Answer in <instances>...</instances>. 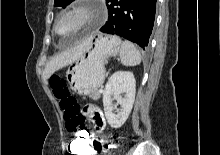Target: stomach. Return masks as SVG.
<instances>
[{"label":"stomach","mask_w":220,"mask_h":155,"mask_svg":"<svg viewBox=\"0 0 220 155\" xmlns=\"http://www.w3.org/2000/svg\"><path fill=\"white\" fill-rule=\"evenodd\" d=\"M121 48L117 36H100L91 42L84 54L71 63L67 70L70 89L80 96H92L105 79L106 60L116 56Z\"/></svg>","instance_id":"stomach-1"}]
</instances>
